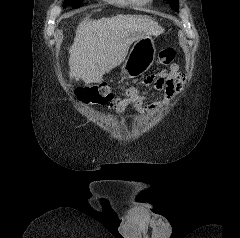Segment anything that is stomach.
<instances>
[{
	"mask_svg": "<svg viewBox=\"0 0 240 238\" xmlns=\"http://www.w3.org/2000/svg\"><path fill=\"white\" fill-rule=\"evenodd\" d=\"M155 57V41L151 35H145L134 42L120 67L121 74L129 78L138 77L152 66Z\"/></svg>",
	"mask_w": 240,
	"mask_h": 238,
	"instance_id": "1",
	"label": "stomach"
}]
</instances>
